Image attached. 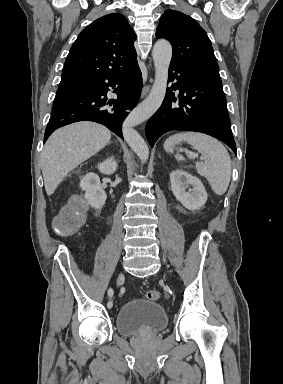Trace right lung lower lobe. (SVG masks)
Segmentation results:
<instances>
[{"instance_id":"1","label":"right lung lower lobe","mask_w":283,"mask_h":384,"mask_svg":"<svg viewBox=\"0 0 283 384\" xmlns=\"http://www.w3.org/2000/svg\"><path fill=\"white\" fill-rule=\"evenodd\" d=\"M109 87H116L117 99H107ZM141 89L142 75L138 65L125 74L91 84L74 101L53 109L44 142L56 129L83 120L105 125L123 138V121L128 111L136 106Z\"/></svg>"}]
</instances>
